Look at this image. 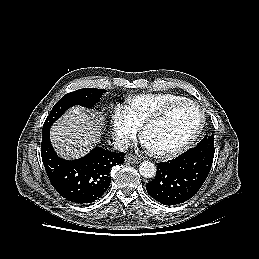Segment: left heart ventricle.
I'll return each instance as SVG.
<instances>
[{
	"mask_svg": "<svg viewBox=\"0 0 259 259\" xmlns=\"http://www.w3.org/2000/svg\"><path fill=\"white\" fill-rule=\"evenodd\" d=\"M199 121L200 114L194 106L178 107L149 128L146 134V144L154 150L175 147L189 138Z\"/></svg>",
	"mask_w": 259,
	"mask_h": 259,
	"instance_id": "obj_1",
	"label": "left heart ventricle"
}]
</instances>
